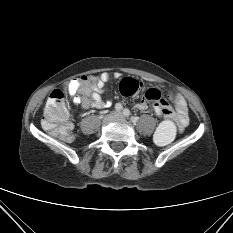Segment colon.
Returning <instances> with one entry per match:
<instances>
[{
	"label": "colon",
	"mask_w": 233,
	"mask_h": 233,
	"mask_svg": "<svg viewBox=\"0 0 233 233\" xmlns=\"http://www.w3.org/2000/svg\"><path fill=\"white\" fill-rule=\"evenodd\" d=\"M95 78L84 77L85 86L90 88ZM141 87V84L132 78H125L120 83V92L124 96L135 94ZM145 99L149 101H159L161 93L157 89H148L145 93ZM165 120L158 126L154 139L158 145L164 146L173 141L176 135V127L172 121V111L168 107L162 110ZM43 126L52 134L60 137L65 141H70L73 138V127L68 120L67 109L64 102L63 92L59 89H54L50 92L46 102L43 119Z\"/></svg>",
	"instance_id": "5ec220e1"
}]
</instances>
